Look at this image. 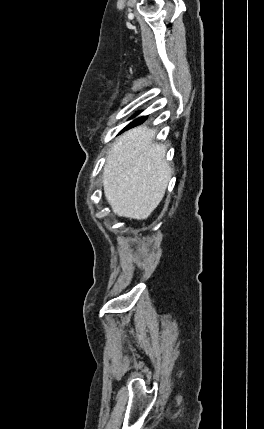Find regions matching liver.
<instances>
[{"mask_svg":"<svg viewBox=\"0 0 264 429\" xmlns=\"http://www.w3.org/2000/svg\"><path fill=\"white\" fill-rule=\"evenodd\" d=\"M146 126L121 135L112 145L103 171L106 200L120 217L147 219L161 202L173 169L167 148L154 143Z\"/></svg>","mask_w":264,"mask_h":429,"instance_id":"6515ba94","label":"liver"}]
</instances>
